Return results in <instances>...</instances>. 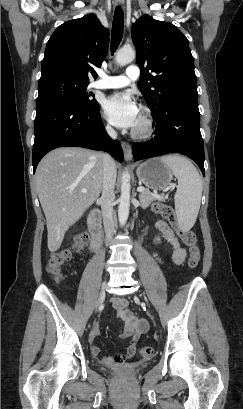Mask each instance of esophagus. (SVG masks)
<instances>
[{
	"instance_id": "1",
	"label": "esophagus",
	"mask_w": 243,
	"mask_h": 409,
	"mask_svg": "<svg viewBox=\"0 0 243 409\" xmlns=\"http://www.w3.org/2000/svg\"><path fill=\"white\" fill-rule=\"evenodd\" d=\"M121 4H122L121 0H116V5H121ZM121 147L123 149L125 159L127 161H130L132 159V148H131V146L126 142H121Z\"/></svg>"
}]
</instances>
